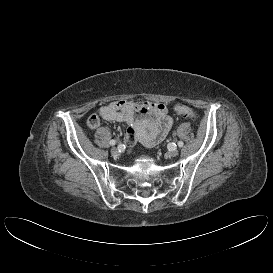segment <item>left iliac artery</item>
Masks as SVG:
<instances>
[{
  "instance_id": "44dca946",
  "label": "left iliac artery",
  "mask_w": 273,
  "mask_h": 273,
  "mask_svg": "<svg viewBox=\"0 0 273 273\" xmlns=\"http://www.w3.org/2000/svg\"><path fill=\"white\" fill-rule=\"evenodd\" d=\"M177 144H178L179 147H182L184 145V143L182 141H178Z\"/></svg>"
}]
</instances>
